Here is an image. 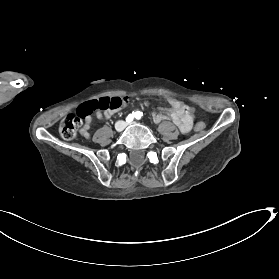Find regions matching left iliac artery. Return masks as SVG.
Returning <instances> with one entry per match:
<instances>
[{"label": "left iliac artery", "mask_w": 279, "mask_h": 279, "mask_svg": "<svg viewBox=\"0 0 279 279\" xmlns=\"http://www.w3.org/2000/svg\"><path fill=\"white\" fill-rule=\"evenodd\" d=\"M134 116L137 120H139L142 117V113L140 111H137V112H135Z\"/></svg>", "instance_id": "1"}]
</instances>
